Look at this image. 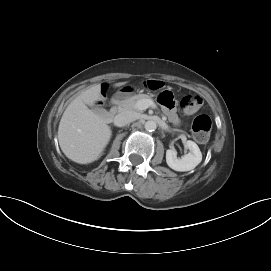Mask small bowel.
Segmentation results:
<instances>
[{"label": "small bowel", "mask_w": 271, "mask_h": 271, "mask_svg": "<svg viewBox=\"0 0 271 271\" xmlns=\"http://www.w3.org/2000/svg\"><path fill=\"white\" fill-rule=\"evenodd\" d=\"M166 113H167L169 119H170L173 123H175V124L178 123V117H177V115H176V112H175L173 106H171V107H166Z\"/></svg>", "instance_id": "small-bowel-1"}]
</instances>
